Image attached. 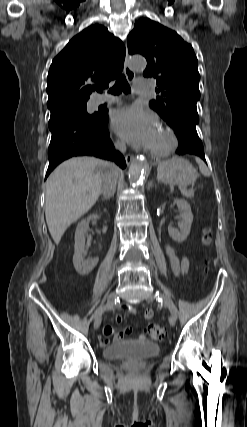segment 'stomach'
<instances>
[{
  "label": "stomach",
  "instance_id": "obj_1",
  "mask_svg": "<svg viewBox=\"0 0 247 427\" xmlns=\"http://www.w3.org/2000/svg\"><path fill=\"white\" fill-rule=\"evenodd\" d=\"M198 173L192 164L180 157L163 162L158 167L157 178L160 182L181 187L194 184Z\"/></svg>",
  "mask_w": 247,
  "mask_h": 427
}]
</instances>
